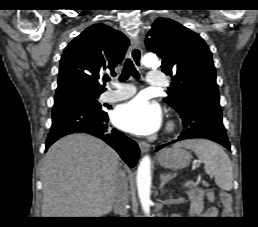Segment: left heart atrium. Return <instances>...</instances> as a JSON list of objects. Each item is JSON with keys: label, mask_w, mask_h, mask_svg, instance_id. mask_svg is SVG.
<instances>
[{"label": "left heart atrium", "mask_w": 258, "mask_h": 227, "mask_svg": "<svg viewBox=\"0 0 258 227\" xmlns=\"http://www.w3.org/2000/svg\"><path fill=\"white\" fill-rule=\"evenodd\" d=\"M115 124L130 133L148 135L161 124L160 107L145 97H136L121 104L114 113Z\"/></svg>", "instance_id": "39dd6f15"}]
</instances>
